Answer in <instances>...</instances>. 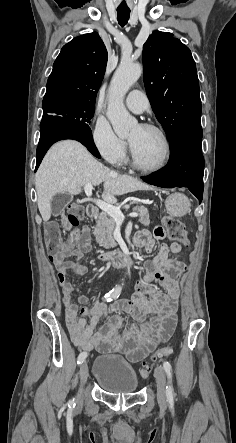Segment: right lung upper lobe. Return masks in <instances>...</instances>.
Here are the masks:
<instances>
[{
    "mask_svg": "<svg viewBox=\"0 0 236 443\" xmlns=\"http://www.w3.org/2000/svg\"><path fill=\"white\" fill-rule=\"evenodd\" d=\"M107 57L97 32L78 36L64 45L48 78L43 102L56 97H75L95 103Z\"/></svg>",
    "mask_w": 236,
    "mask_h": 443,
    "instance_id": "1",
    "label": "right lung upper lobe"
}]
</instances>
